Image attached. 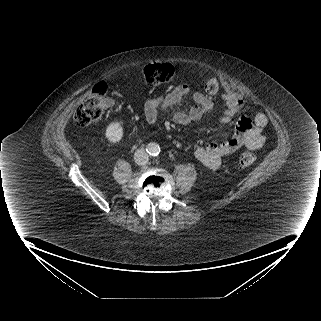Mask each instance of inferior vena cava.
<instances>
[{"label":"inferior vena cava","mask_w":321,"mask_h":321,"mask_svg":"<svg viewBox=\"0 0 321 321\" xmlns=\"http://www.w3.org/2000/svg\"><path fill=\"white\" fill-rule=\"evenodd\" d=\"M134 160L138 165H145L148 163L149 156L145 149H138L134 154Z\"/></svg>","instance_id":"obj_1"}]
</instances>
